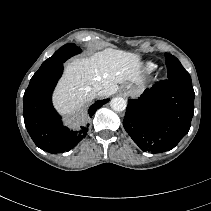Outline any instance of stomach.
Returning <instances> with one entry per match:
<instances>
[{
  "label": "stomach",
  "mask_w": 211,
  "mask_h": 211,
  "mask_svg": "<svg viewBox=\"0 0 211 211\" xmlns=\"http://www.w3.org/2000/svg\"><path fill=\"white\" fill-rule=\"evenodd\" d=\"M122 91L124 92V94L129 96H137L140 92L138 89L132 87L130 84L123 86Z\"/></svg>",
  "instance_id": "0dacf381"
}]
</instances>
